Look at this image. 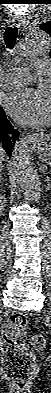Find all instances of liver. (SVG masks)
<instances>
[{"label": "liver", "mask_w": 51, "mask_h": 393, "mask_svg": "<svg viewBox=\"0 0 51 393\" xmlns=\"http://www.w3.org/2000/svg\"><path fill=\"white\" fill-rule=\"evenodd\" d=\"M5 157V152L3 149L0 150V161L2 162L4 160Z\"/></svg>", "instance_id": "obj_1"}]
</instances>
